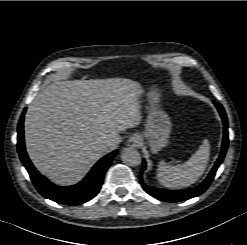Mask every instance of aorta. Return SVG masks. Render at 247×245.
Here are the masks:
<instances>
[{"label":"aorta","mask_w":247,"mask_h":245,"mask_svg":"<svg viewBox=\"0 0 247 245\" xmlns=\"http://www.w3.org/2000/svg\"><path fill=\"white\" fill-rule=\"evenodd\" d=\"M121 160L128 166H138L141 163V156L135 148L128 147L122 150Z\"/></svg>","instance_id":"aorta-1"}]
</instances>
